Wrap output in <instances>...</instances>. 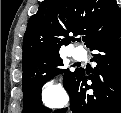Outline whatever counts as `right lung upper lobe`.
<instances>
[{"label": "right lung upper lobe", "mask_w": 121, "mask_h": 113, "mask_svg": "<svg viewBox=\"0 0 121 113\" xmlns=\"http://www.w3.org/2000/svg\"><path fill=\"white\" fill-rule=\"evenodd\" d=\"M121 29L116 0H44L28 21L23 40V68L74 41L71 34L87 37L90 48Z\"/></svg>", "instance_id": "right-lung-upper-lobe-1"}]
</instances>
